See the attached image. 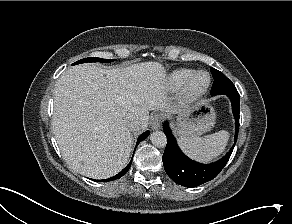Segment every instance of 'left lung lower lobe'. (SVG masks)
<instances>
[{"instance_id":"1","label":"left lung lower lobe","mask_w":292,"mask_h":224,"mask_svg":"<svg viewBox=\"0 0 292 224\" xmlns=\"http://www.w3.org/2000/svg\"><path fill=\"white\" fill-rule=\"evenodd\" d=\"M223 94L227 95L231 100L237 134L239 131L240 95L236 88L225 91ZM163 130L167 137V146L162 157L165 171L174 182L185 187H195L215 178L224 168L233 151L232 147L229 152L217 162L201 164L189 159L180 150L168 122L163 124ZM236 141L237 136H235L234 144Z\"/></svg>"}]
</instances>
